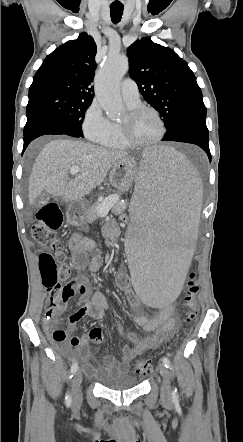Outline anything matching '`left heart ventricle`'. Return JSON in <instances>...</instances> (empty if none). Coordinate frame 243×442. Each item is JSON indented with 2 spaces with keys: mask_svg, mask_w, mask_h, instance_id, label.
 <instances>
[{
  "mask_svg": "<svg viewBox=\"0 0 243 442\" xmlns=\"http://www.w3.org/2000/svg\"><path fill=\"white\" fill-rule=\"evenodd\" d=\"M126 115L122 121L126 120ZM160 132V125L151 112H144L131 121L130 136L134 141L146 142L157 137Z\"/></svg>",
  "mask_w": 243,
  "mask_h": 442,
  "instance_id": "1",
  "label": "left heart ventricle"
}]
</instances>
